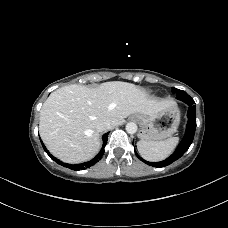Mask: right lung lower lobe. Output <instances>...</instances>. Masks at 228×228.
<instances>
[{
	"label": "right lung lower lobe",
	"mask_w": 228,
	"mask_h": 228,
	"mask_svg": "<svg viewBox=\"0 0 228 228\" xmlns=\"http://www.w3.org/2000/svg\"><path fill=\"white\" fill-rule=\"evenodd\" d=\"M102 139H103V145H102L100 152L96 155V157L93 158L91 161L81 163V164H67V163H64L62 161H59L57 158H55L54 156H52L49 153V151L46 149V147L43 144L42 145H43L45 152L51 157V159H53L58 164L63 165L65 167H68L72 170H84L86 168L93 166L95 163H97L102 158V156L104 154V148H105L107 140H108V133H105L103 135Z\"/></svg>",
	"instance_id": "obj_1"
}]
</instances>
